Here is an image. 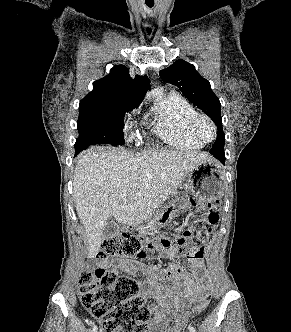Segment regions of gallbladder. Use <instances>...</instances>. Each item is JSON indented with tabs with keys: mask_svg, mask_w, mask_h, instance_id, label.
Listing matches in <instances>:
<instances>
[{
	"mask_svg": "<svg viewBox=\"0 0 291 332\" xmlns=\"http://www.w3.org/2000/svg\"><path fill=\"white\" fill-rule=\"evenodd\" d=\"M119 232V225L113 219H109L102 231V239H110Z\"/></svg>",
	"mask_w": 291,
	"mask_h": 332,
	"instance_id": "gallbladder-1",
	"label": "gallbladder"
}]
</instances>
